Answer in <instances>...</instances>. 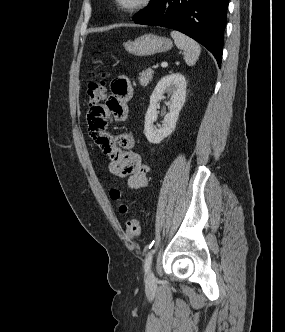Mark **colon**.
I'll list each match as a JSON object with an SVG mask.
<instances>
[{
	"label": "colon",
	"instance_id": "1",
	"mask_svg": "<svg viewBox=\"0 0 285 332\" xmlns=\"http://www.w3.org/2000/svg\"><path fill=\"white\" fill-rule=\"evenodd\" d=\"M97 61V58H94ZM106 75L104 73L94 74L93 80L88 84L86 89L87 101L90 107L98 106L106 97ZM112 200L119 203V212L129 214V207L122 202V192L119 188L114 187L110 190ZM141 232V223L139 219L131 216L126 222V234L130 239H136Z\"/></svg>",
	"mask_w": 285,
	"mask_h": 332
}]
</instances>
